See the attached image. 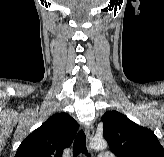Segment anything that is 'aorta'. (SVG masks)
<instances>
[{
    "instance_id": "1",
    "label": "aorta",
    "mask_w": 164,
    "mask_h": 157,
    "mask_svg": "<svg viewBox=\"0 0 164 157\" xmlns=\"http://www.w3.org/2000/svg\"><path fill=\"white\" fill-rule=\"evenodd\" d=\"M90 147L95 150H104L107 147V143L103 139H94L91 141Z\"/></svg>"
}]
</instances>
